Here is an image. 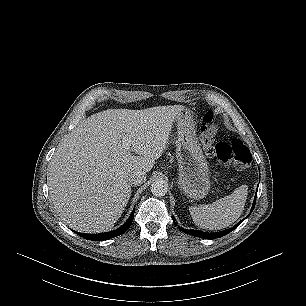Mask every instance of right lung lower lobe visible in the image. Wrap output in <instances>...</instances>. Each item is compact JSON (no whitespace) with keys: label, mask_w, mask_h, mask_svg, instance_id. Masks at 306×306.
Instances as JSON below:
<instances>
[{"label":"right lung lower lobe","mask_w":306,"mask_h":306,"mask_svg":"<svg viewBox=\"0 0 306 306\" xmlns=\"http://www.w3.org/2000/svg\"><path fill=\"white\" fill-rule=\"evenodd\" d=\"M133 217H134V212L131 213V216L129 217V219L127 220V222L121 226L120 228L108 232V233H101V234H84V233H78L76 232L79 236L88 239V240H92V241H102V240H107V239H111L114 238L116 236H119L123 233H125L128 228L130 227L132 221H133Z\"/></svg>","instance_id":"1"}]
</instances>
